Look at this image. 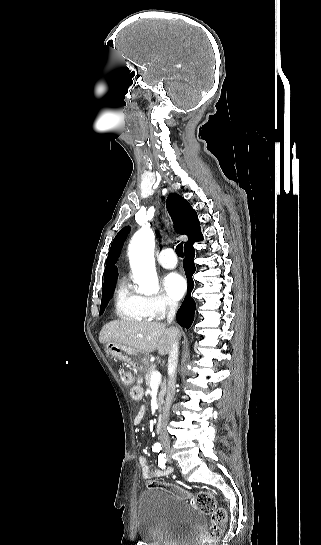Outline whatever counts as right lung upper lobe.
I'll list each match as a JSON object with an SVG mask.
<instances>
[{
  "mask_svg": "<svg viewBox=\"0 0 321 545\" xmlns=\"http://www.w3.org/2000/svg\"><path fill=\"white\" fill-rule=\"evenodd\" d=\"M166 206L173 220L174 228L178 233L185 234L190 239L200 230V222L195 210L183 197L176 193H170L166 201ZM129 229V227L123 228L112 242L104 271L105 280L103 289L116 285L117 267L114 264L117 261Z\"/></svg>",
  "mask_w": 321,
  "mask_h": 545,
  "instance_id": "obj_1",
  "label": "right lung upper lobe"
}]
</instances>
